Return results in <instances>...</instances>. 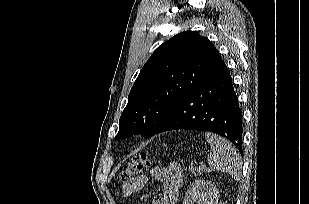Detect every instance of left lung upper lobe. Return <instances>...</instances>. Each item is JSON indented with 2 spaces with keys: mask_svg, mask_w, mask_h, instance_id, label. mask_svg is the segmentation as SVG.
I'll return each mask as SVG.
<instances>
[{
  "mask_svg": "<svg viewBox=\"0 0 309 204\" xmlns=\"http://www.w3.org/2000/svg\"><path fill=\"white\" fill-rule=\"evenodd\" d=\"M223 64L214 45L195 31L163 43L132 86L115 139L131 137L132 130L149 138L169 112Z\"/></svg>",
  "mask_w": 309,
  "mask_h": 204,
  "instance_id": "1",
  "label": "left lung upper lobe"
}]
</instances>
